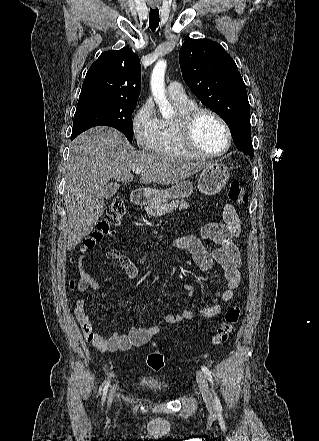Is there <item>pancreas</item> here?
Wrapping results in <instances>:
<instances>
[{"mask_svg": "<svg viewBox=\"0 0 319 441\" xmlns=\"http://www.w3.org/2000/svg\"><path fill=\"white\" fill-rule=\"evenodd\" d=\"M188 207L189 204L188 202L184 201V199L171 202H169V200H154L145 206V211L149 216H161L166 213L173 212L177 208H179V210H182L187 209Z\"/></svg>", "mask_w": 319, "mask_h": 441, "instance_id": "pancreas-1", "label": "pancreas"}]
</instances>
